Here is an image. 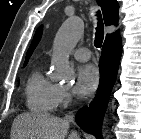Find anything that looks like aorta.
I'll use <instances>...</instances> for the list:
<instances>
[{"mask_svg":"<svg viewBox=\"0 0 141 139\" xmlns=\"http://www.w3.org/2000/svg\"><path fill=\"white\" fill-rule=\"evenodd\" d=\"M84 33V23L77 17L68 18L59 28L54 40V52L51 63L54 67V78L69 82L74 72L69 66V54Z\"/></svg>","mask_w":141,"mask_h":139,"instance_id":"aorta-1","label":"aorta"}]
</instances>
